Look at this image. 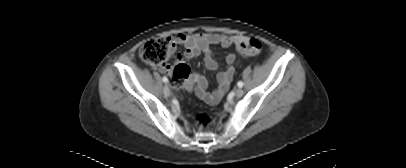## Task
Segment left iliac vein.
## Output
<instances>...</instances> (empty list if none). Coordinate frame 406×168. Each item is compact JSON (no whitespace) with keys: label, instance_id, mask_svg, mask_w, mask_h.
<instances>
[{"label":"left iliac vein","instance_id":"1","mask_svg":"<svg viewBox=\"0 0 406 168\" xmlns=\"http://www.w3.org/2000/svg\"><path fill=\"white\" fill-rule=\"evenodd\" d=\"M243 94H244V91H243V89H241V88H238L236 91H235V95H236V97H242L243 96Z\"/></svg>","mask_w":406,"mask_h":168}]
</instances>
